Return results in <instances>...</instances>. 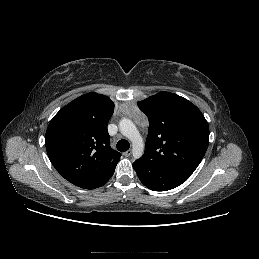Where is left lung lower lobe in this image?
<instances>
[{
    "label": "left lung lower lobe",
    "mask_w": 259,
    "mask_h": 259,
    "mask_svg": "<svg viewBox=\"0 0 259 259\" xmlns=\"http://www.w3.org/2000/svg\"><path fill=\"white\" fill-rule=\"evenodd\" d=\"M133 168L137 172L140 181L153 191L173 189L191 176L190 173L142 158L133 163Z\"/></svg>",
    "instance_id": "left-lung-lower-lobe-1"
}]
</instances>
